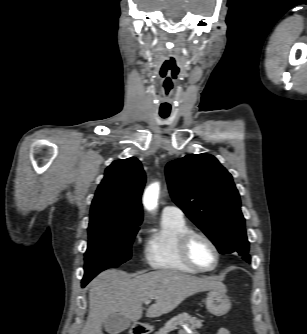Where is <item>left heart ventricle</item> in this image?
<instances>
[{"instance_id":"b2bd125f","label":"left heart ventricle","mask_w":307,"mask_h":334,"mask_svg":"<svg viewBox=\"0 0 307 334\" xmlns=\"http://www.w3.org/2000/svg\"><path fill=\"white\" fill-rule=\"evenodd\" d=\"M193 260L203 268L211 267L216 259L212 247L203 239L195 238L190 247Z\"/></svg>"}]
</instances>
